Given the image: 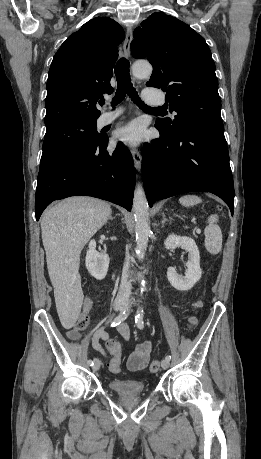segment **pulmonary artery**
I'll use <instances>...</instances> for the list:
<instances>
[{"instance_id":"e3ab8cb5","label":"pulmonary artery","mask_w":261,"mask_h":459,"mask_svg":"<svg viewBox=\"0 0 261 459\" xmlns=\"http://www.w3.org/2000/svg\"><path fill=\"white\" fill-rule=\"evenodd\" d=\"M143 100L149 104V105H162L163 104V98L157 94L155 91L151 89H145L143 90L142 93ZM122 113V110L116 109L111 112H105L101 114V116L98 119V124L100 126H105L107 124H110L114 120H116Z\"/></svg>"}]
</instances>
